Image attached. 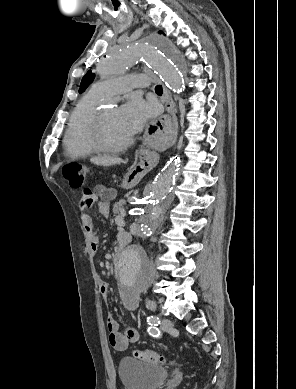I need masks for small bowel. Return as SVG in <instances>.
Masks as SVG:
<instances>
[{"label":"small bowel","instance_id":"obj_1","mask_svg":"<svg viewBox=\"0 0 296 389\" xmlns=\"http://www.w3.org/2000/svg\"><path fill=\"white\" fill-rule=\"evenodd\" d=\"M115 197V191L103 186H99L95 191L85 190L79 200V208L81 211V221L84 229L86 230L89 238L90 248L96 251L98 248V237L93 230L92 219L86 212L91 204L96 200L99 201V210L105 214L108 210L109 200ZM122 236L129 237L126 233H120L119 239ZM109 292V286L106 282H100V293L104 298H107ZM148 307H153L151 302L147 303ZM107 327L109 330V343L117 351H124L128 348V345L138 340L139 334L135 327L128 326L124 330H120L118 321L109 315L107 318Z\"/></svg>","mask_w":296,"mask_h":389}]
</instances>
